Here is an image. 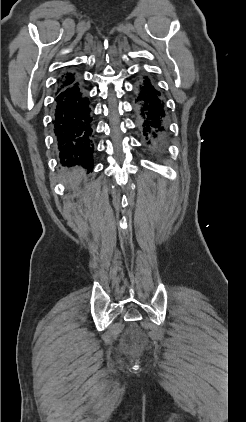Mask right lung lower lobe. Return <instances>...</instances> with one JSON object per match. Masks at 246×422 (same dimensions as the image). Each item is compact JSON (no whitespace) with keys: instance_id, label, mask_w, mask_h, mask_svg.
Masks as SVG:
<instances>
[{"instance_id":"right-lung-lower-lobe-1","label":"right lung lower lobe","mask_w":246,"mask_h":422,"mask_svg":"<svg viewBox=\"0 0 246 422\" xmlns=\"http://www.w3.org/2000/svg\"><path fill=\"white\" fill-rule=\"evenodd\" d=\"M53 126L62 166L93 169V122L81 80L59 85L55 95Z\"/></svg>"}]
</instances>
